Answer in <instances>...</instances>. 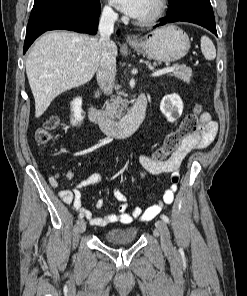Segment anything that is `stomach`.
Returning a JSON list of instances; mask_svg holds the SVG:
<instances>
[{
  "instance_id": "1",
  "label": "stomach",
  "mask_w": 247,
  "mask_h": 296,
  "mask_svg": "<svg viewBox=\"0 0 247 296\" xmlns=\"http://www.w3.org/2000/svg\"><path fill=\"white\" fill-rule=\"evenodd\" d=\"M130 46L159 62H174L183 58L190 49L188 35L175 25L154 30Z\"/></svg>"
}]
</instances>
